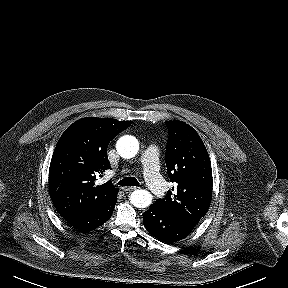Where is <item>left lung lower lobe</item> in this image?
Listing matches in <instances>:
<instances>
[{
  "mask_svg": "<svg viewBox=\"0 0 288 288\" xmlns=\"http://www.w3.org/2000/svg\"><path fill=\"white\" fill-rule=\"evenodd\" d=\"M143 224L150 234L164 243L184 239L195 227L161 210L155 203L144 212Z\"/></svg>",
  "mask_w": 288,
  "mask_h": 288,
  "instance_id": "1",
  "label": "left lung lower lobe"
}]
</instances>
